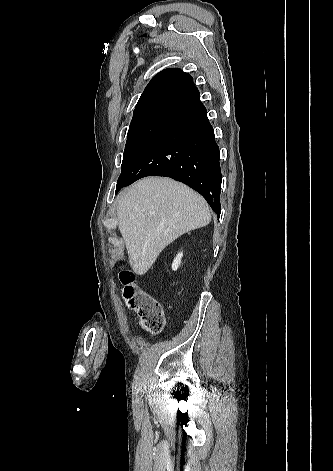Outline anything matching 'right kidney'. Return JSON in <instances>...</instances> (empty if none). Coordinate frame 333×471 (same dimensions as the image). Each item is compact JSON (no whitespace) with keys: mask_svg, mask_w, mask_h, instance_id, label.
<instances>
[{"mask_svg":"<svg viewBox=\"0 0 333 471\" xmlns=\"http://www.w3.org/2000/svg\"><path fill=\"white\" fill-rule=\"evenodd\" d=\"M183 253H178L177 256L175 257L173 263H172V270H177L181 264V259H182Z\"/></svg>","mask_w":333,"mask_h":471,"instance_id":"ca27d5eb","label":"right kidney"}]
</instances>
